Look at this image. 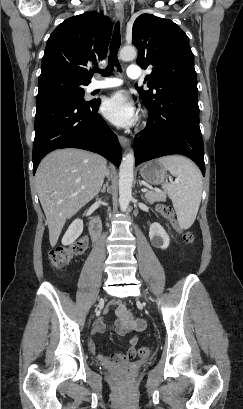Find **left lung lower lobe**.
<instances>
[{
	"label": "left lung lower lobe",
	"mask_w": 243,
	"mask_h": 409,
	"mask_svg": "<svg viewBox=\"0 0 243 409\" xmlns=\"http://www.w3.org/2000/svg\"><path fill=\"white\" fill-rule=\"evenodd\" d=\"M197 87L175 89L154 104L149 112L148 131L135 139V165L147 160L181 154L192 159L205 175L204 144L199 127Z\"/></svg>",
	"instance_id": "0a47b994"
}]
</instances>
